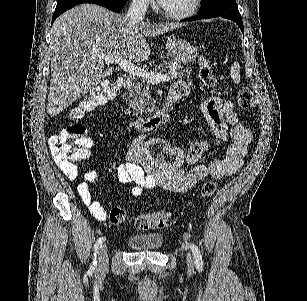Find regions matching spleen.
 <instances>
[{
	"mask_svg": "<svg viewBox=\"0 0 307 301\" xmlns=\"http://www.w3.org/2000/svg\"><path fill=\"white\" fill-rule=\"evenodd\" d=\"M230 74L233 82H236V84H238L241 78L239 62H233L230 68Z\"/></svg>",
	"mask_w": 307,
	"mask_h": 301,
	"instance_id": "obj_1",
	"label": "spleen"
}]
</instances>
